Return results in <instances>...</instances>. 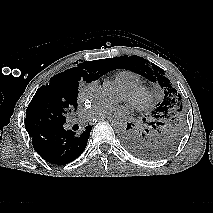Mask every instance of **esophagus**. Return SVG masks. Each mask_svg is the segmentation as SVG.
I'll use <instances>...</instances> for the list:
<instances>
[{
    "label": "esophagus",
    "instance_id": "34e87169",
    "mask_svg": "<svg viewBox=\"0 0 213 213\" xmlns=\"http://www.w3.org/2000/svg\"><path fill=\"white\" fill-rule=\"evenodd\" d=\"M101 120H108V121H112V120H114V117H108V118H105V119H99V121H101Z\"/></svg>",
    "mask_w": 213,
    "mask_h": 213
}]
</instances>
